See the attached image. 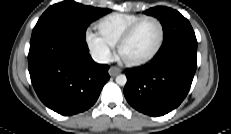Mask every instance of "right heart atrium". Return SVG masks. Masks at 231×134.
I'll use <instances>...</instances> for the list:
<instances>
[{
  "label": "right heart atrium",
  "mask_w": 231,
  "mask_h": 134,
  "mask_svg": "<svg viewBox=\"0 0 231 134\" xmlns=\"http://www.w3.org/2000/svg\"><path fill=\"white\" fill-rule=\"evenodd\" d=\"M85 43L96 62L105 64L113 58V45L107 42L98 32L87 29L85 32Z\"/></svg>",
  "instance_id": "obj_1"
}]
</instances>
